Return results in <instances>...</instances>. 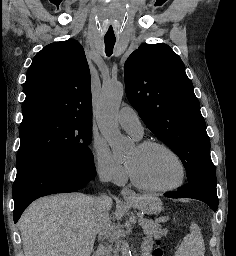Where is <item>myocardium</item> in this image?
Masks as SVG:
<instances>
[{
  "label": "myocardium",
  "instance_id": "f54148a6",
  "mask_svg": "<svg viewBox=\"0 0 236 256\" xmlns=\"http://www.w3.org/2000/svg\"><path fill=\"white\" fill-rule=\"evenodd\" d=\"M137 148L142 152H150V151H153L156 149L164 150V151L170 153L171 155H173L181 166V177L176 183L166 186V187H151V186H148V185L144 184L143 182H141L139 180V178L137 177V175L135 174L134 170L130 167L129 164H127L131 183L137 189L144 191L146 193L160 194V193H166V192L172 191V190L177 189L183 185V183L185 182L186 177H187V167H186V164H185L183 158L180 156V154L177 151H175L173 148H171L170 146H168L164 143H160V142H156V141L143 142V143L139 144L137 146Z\"/></svg>",
  "mask_w": 236,
  "mask_h": 256
}]
</instances>
